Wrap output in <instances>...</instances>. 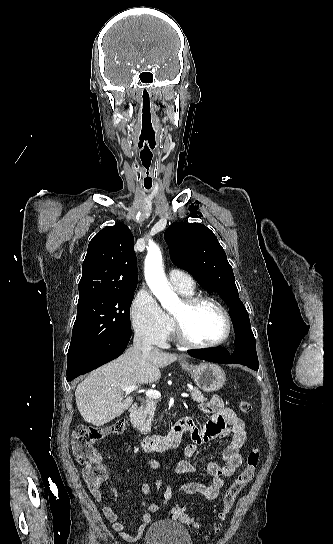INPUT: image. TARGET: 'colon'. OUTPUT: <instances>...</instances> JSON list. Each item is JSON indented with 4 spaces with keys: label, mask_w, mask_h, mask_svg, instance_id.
<instances>
[{
    "label": "colon",
    "mask_w": 333,
    "mask_h": 544,
    "mask_svg": "<svg viewBox=\"0 0 333 544\" xmlns=\"http://www.w3.org/2000/svg\"><path fill=\"white\" fill-rule=\"evenodd\" d=\"M239 408L242 412L249 413L252 407L248 401L241 400ZM125 425V420L119 418L104 427L78 426L74 430L71 441L72 451L76 461L83 468V478L90 489L100 488L108 477V470L103 465L101 455L94 445L108 435L122 433ZM260 458L258 449H252L248 453L245 468L224 494L222 509L219 513L221 521L228 518L238 494L252 480ZM171 517L193 529H199V524L181 506L176 505L171 509Z\"/></svg>",
    "instance_id": "1"
}]
</instances>
